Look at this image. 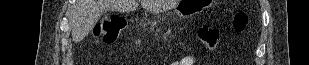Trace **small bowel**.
<instances>
[{"label": "small bowel", "instance_id": "obj_1", "mask_svg": "<svg viewBox=\"0 0 309 65\" xmlns=\"http://www.w3.org/2000/svg\"><path fill=\"white\" fill-rule=\"evenodd\" d=\"M186 59H189L191 62L188 64L185 62ZM171 65H193V60L189 57H183L179 61L173 62Z\"/></svg>", "mask_w": 309, "mask_h": 65}]
</instances>
